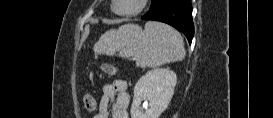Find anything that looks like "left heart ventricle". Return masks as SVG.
Here are the masks:
<instances>
[{
	"label": "left heart ventricle",
	"mask_w": 273,
	"mask_h": 118,
	"mask_svg": "<svg viewBox=\"0 0 273 118\" xmlns=\"http://www.w3.org/2000/svg\"><path fill=\"white\" fill-rule=\"evenodd\" d=\"M139 0H118L117 10L118 11H131L137 8Z\"/></svg>",
	"instance_id": "left-heart-ventricle-1"
}]
</instances>
